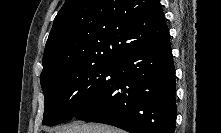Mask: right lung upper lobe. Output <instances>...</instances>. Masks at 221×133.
<instances>
[{
  "label": "right lung upper lobe",
  "mask_w": 221,
  "mask_h": 133,
  "mask_svg": "<svg viewBox=\"0 0 221 133\" xmlns=\"http://www.w3.org/2000/svg\"><path fill=\"white\" fill-rule=\"evenodd\" d=\"M167 38L158 0H66L46 42L41 76L65 65L113 63Z\"/></svg>",
  "instance_id": "1"
}]
</instances>
